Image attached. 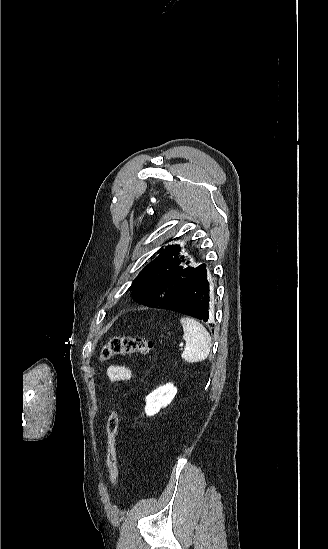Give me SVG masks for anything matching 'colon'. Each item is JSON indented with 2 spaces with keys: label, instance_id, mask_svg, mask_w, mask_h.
Segmentation results:
<instances>
[{
  "label": "colon",
  "instance_id": "5ec220e1",
  "mask_svg": "<svg viewBox=\"0 0 328 549\" xmlns=\"http://www.w3.org/2000/svg\"><path fill=\"white\" fill-rule=\"evenodd\" d=\"M153 349V343L142 337L115 336L110 338L101 350L100 357L107 360L118 355L149 354ZM120 426L118 411H113L107 422V452L106 463L109 471V479L113 488L117 487L119 470L117 462L116 439Z\"/></svg>",
  "mask_w": 328,
  "mask_h": 549
}]
</instances>
